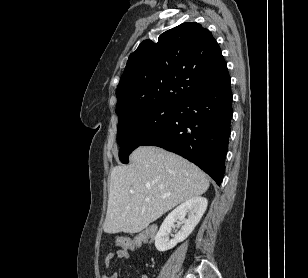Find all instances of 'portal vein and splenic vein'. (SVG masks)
Listing matches in <instances>:
<instances>
[{
	"mask_svg": "<svg viewBox=\"0 0 308 278\" xmlns=\"http://www.w3.org/2000/svg\"><path fill=\"white\" fill-rule=\"evenodd\" d=\"M132 193H134V191H131ZM166 196H162V198H165Z\"/></svg>",
	"mask_w": 308,
	"mask_h": 278,
	"instance_id": "obj_1",
	"label": "portal vein and splenic vein"
}]
</instances>
